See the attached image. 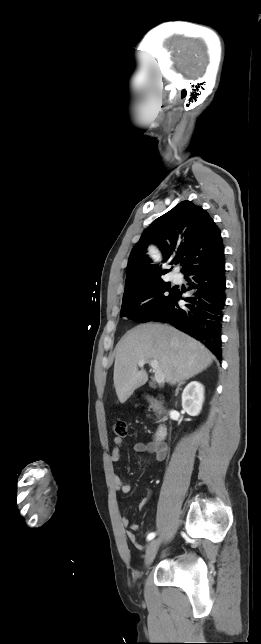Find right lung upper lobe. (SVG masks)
Segmentation results:
<instances>
[{
    "label": "right lung upper lobe",
    "instance_id": "obj_1",
    "mask_svg": "<svg viewBox=\"0 0 261 644\" xmlns=\"http://www.w3.org/2000/svg\"><path fill=\"white\" fill-rule=\"evenodd\" d=\"M156 244L163 261L183 265L182 271L223 257L220 229L209 214L191 201H183L157 218L133 247L128 260L125 288L160 281L168 270L153 265L147 246Z\"/></svg>",
    "mask_w": 261,
    "mask_h": 644
}]
</instances>
